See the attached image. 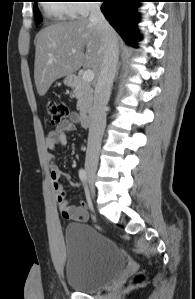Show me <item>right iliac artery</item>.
<instances>
[{
    "label": "right iliac artery",
    "instance_id": "right-iliac-artery-1",
    "mask_svg": "<svg viewBox=\"0 0 195 299\" xmlns=\"http://www.w3.org/2000/svg\"><path fill=\"white\" fill-rule=\"evenodd\" d=\"M79 178L85 184L87 180V173L84 169L79 170Z\"/></svg>",
    "mask_w": 195,
    "mask_h": 299
}]
</instances>
